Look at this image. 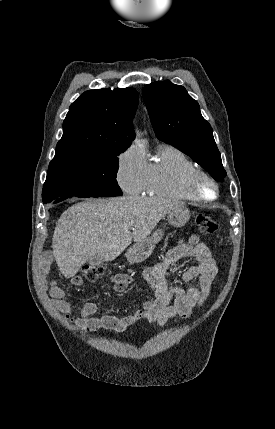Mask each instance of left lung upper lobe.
Segmentation results:
<instances>
[{
  "mask_svg": "<svg viewBox=\"0 0 275 429\" xmlns=\"http://www.w3.org/2000/svg\"><path fill=\"white\" fill-rule=\"evenodd\" d=\"M143 98L156 136L189 155L216 181L223 182L226 171L212 128L186 89L169 80L158 81L145 85Z\"/></svg>",
  "mask_w": 275,
  "mask_h": 429,
  "instance_id": "1",
  "label": "left lung upper lobe"
}]
</instances>
